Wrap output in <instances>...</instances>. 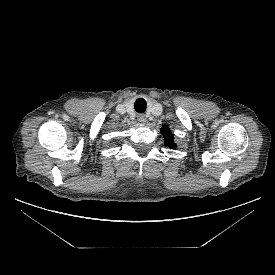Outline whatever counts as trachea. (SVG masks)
<instances>
[{"label": "trachea", "mask_w": 275, "mask_h": 275, "mask_svg": "<svg viewBox=\"0 0 275 275\" xmlns=\"http://www.w3.org/2000/svg\"><path fill=\"white\" fill-rule=\"evenodd\" d=\"M134 108L136 112L143 113L147 108V103L143 98H138L134 103Z\"/></svg>", "instance_id": "trachea-1"}]
</instances>
